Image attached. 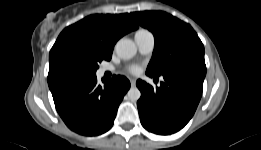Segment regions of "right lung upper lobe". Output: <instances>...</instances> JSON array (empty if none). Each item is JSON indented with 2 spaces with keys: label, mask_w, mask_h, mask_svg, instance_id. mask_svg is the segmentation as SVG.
Returning a JSON list of instances; mask_svg holds the SVG:
<instances>
[{
  "label": "right lung upper lobe",
  "mask_w": 261,
  "mask_h": 150,
  "mask_svg": "<svg viewBox=\"0 0 261 150\" xmlns=\"http://www.w3.org/2000/svg\"><path fill=\"white\" fill-rule=\"evenodd\" d=\"M138 28L128 13L90 15L66 27L58 36L49 54L48 85L53 90L70 81L59 67V54L69 45L84 43L106 56H112L115 43L128 32Z\"/></svg>",
  "instance_id": "cb5924a9"
}]
</instances>
